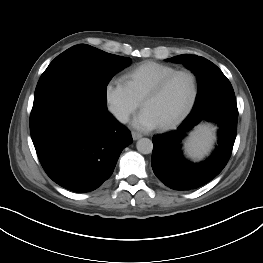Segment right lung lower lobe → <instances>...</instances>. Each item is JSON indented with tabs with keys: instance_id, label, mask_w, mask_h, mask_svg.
I'll list each match as a JSON object with an SVG mask.
<instances>
[{
	"instance_id": "1",
	"label": "right lung lower lobe",
	"mask_w": 263,
	"mask_h": 263,
	"mask_svg": "<svg viewBox=\"0 0 263 263\" xmlns=\"http://www.w3.org/2000/svg\"><path fill=\"white\" fill-rule=\"evenodd\" d=\"M30 133L47 175L73 192H90L113 173L130 131L88 97L64 92L33 103Z\"/></svg>"
}]
</instances>
